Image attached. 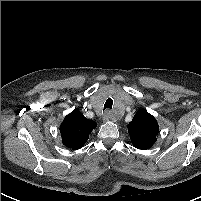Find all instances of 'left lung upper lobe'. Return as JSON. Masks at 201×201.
Returning <instances> with one entry per match:
<instances>
[{"label": "left lung upper lobe", "instance_id": "1", "mask_svg": "<svg viewBox=\"0 0 201 201\" xmlns=\"http://www.w3.org/2000/svg\"><path fill=\"white\" fill-rule=\"evenodd\" d=\"M133 146L138 149H148L156 142L159 132L156 119L146 110H139L127 125Z\"/></svg>", "mask_w": 201, "mask_h": 201}]
</instances>
